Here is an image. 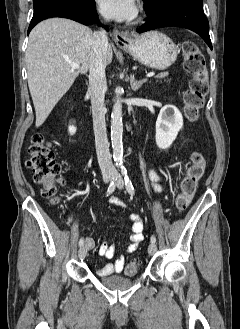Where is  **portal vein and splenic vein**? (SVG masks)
I'll list each match as a JSON object with an SVG mask.
<instances>
[{
    "instance_id": "portal-vein-and-splenic-vein-1",
    "label": "portal vein and splenic vein",
    "mask_w": 240,
    "mask_h": 329,
    "mask_svg": "<svg viewBox=\"0 0 240 329\" xmlns=\"http://www.w3.org/2000/svg\"><path fill=\"white\" fill-rule=\"evenodd\" d=\"M70 66L72 69H78L79 68V65L76 64V63H70ZM155 76V72H150L146 75L147 78H150V77H153Z\"/></svg>"
}]
</instances>
